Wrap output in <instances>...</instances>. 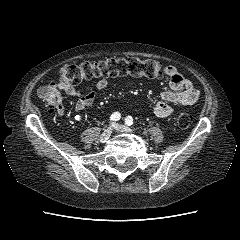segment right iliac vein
Here are the masks:
<instances>
[{
  "label": "right iliac vein",
  "mask_w": 240,
  "mask_h": 240,
  "mask_svg": "<svg viewBox=\"0 0 240 240\" xmlns=\"http://www.w3.org/2000/svg\"><path fill=\"white\" fill-rule=\"evenodd\" d=\"M112 127H113V125L109 126L107 129H105V131L100 136V142L105 143L109 139V137L112 133Z\"/></svg>",
  "instance_id": "obj_1"
}]
</instances>
